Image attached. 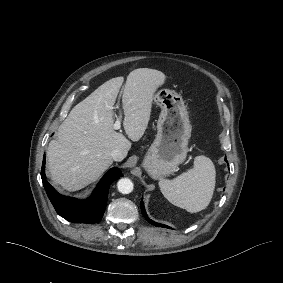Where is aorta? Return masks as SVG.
<instances>
[{"mask_svg":"<svg viewBox=\"0 0 283 283\" xmlns=\"http://www.w3.org/2000/svg\"><path fill=\"white\" fill-rule=\"evenodd\" d=\"M118 191L122 194H129L133 190V182L128 178H121L117 183Z\"/></svg>","mask_w":283,"mask_h":283,"instance_id":"aorta-1","label":"aorta"}]
</instances>
